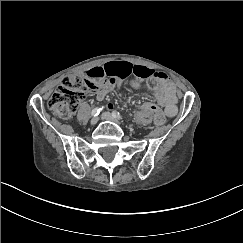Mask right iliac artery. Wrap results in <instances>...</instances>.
<instances>
[{
	"label": "right iliac artery",
	"instance_id": "82829eb1",
	"mask_svg": "<svg viewBox=\"0 0 243 243\" xmlns=\"http://www.w3.org/2000/svg\"><path fill=\"white\" fill-rule=\"evenodd\" d=\"M102 108H94L91 112V115L96 117L97 115H99V113L101 112Z\"/></svg>",
	"mask_w": 243,
	"mask_h": 243
}]
</instances>
